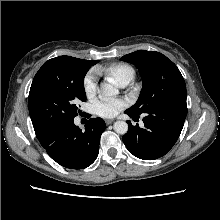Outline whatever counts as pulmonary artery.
Returning <instances> with one entry per match:
<instances>
[{
	"mask_svg": "<svg viewBox=\"0 0 220 220\" xmlns=\"http://www.w3.org/2000/svg\"><path fill=\"white\" fill-rule=\"evenodd\" d=\"M127 83L122 84L120 87L124 88L125 86H127Z\"/></svg>",
	"mask_w": 220,
	"mask_h": 220,
	"instance_id": "e3ab8cb5",
	"label": "pulmonary artery"
}]
</instances>
